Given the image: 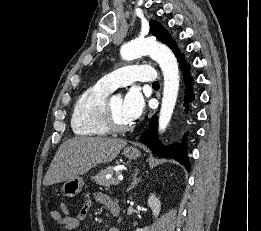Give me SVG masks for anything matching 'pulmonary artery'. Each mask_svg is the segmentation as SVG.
Returning a JSON list of instances; mask_svg holds the SVG:
<instances>
[{
    "label": "pulmonary artery",
    "mask_w": 261,
    "mask_h": 231,
    "mask_svg": "<svg viewBox=\"0 0 261 231\" xmlns=\"http://www.w3.org/2000/svg\"><path fill=\"white\" fill-rule=\"evenodd\" d=\"M155 82V70L150 66H125L105 74L98 83L110 90L129 84L131 82Z\"/></svg>",
    "instance_id": "1"
}]
</instances>
